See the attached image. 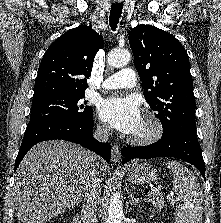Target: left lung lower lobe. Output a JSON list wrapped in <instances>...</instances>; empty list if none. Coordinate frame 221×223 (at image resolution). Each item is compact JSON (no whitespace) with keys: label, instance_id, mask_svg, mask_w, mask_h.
I'll return each instance as SVG.
<instances>
[{"label":"left lung lower lobe","instance_id":"0a47b994","mask_svg":"<svg viewBox=\"0 0 221 223\" xmlns=\"http://www.w3.org/2000/svg\"><path fill=\"white\" fill-rule=\"evenodd\" d=\"M122 163L134 158L174 157L193 164L205 177V163L197 140L196 128L179 127L166 137L148 146L124 147Z\"/></svg>","mask_w":221,"mask_h":223}]
</instances>
